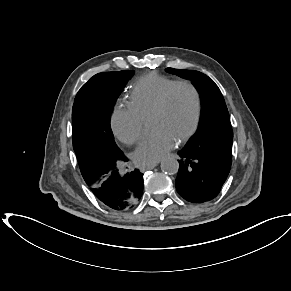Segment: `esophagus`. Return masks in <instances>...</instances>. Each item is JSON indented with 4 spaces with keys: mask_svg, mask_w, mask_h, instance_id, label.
I'll use <instances>...</instances> for the list:
<instances>
[{
    "mask_svg": "<svg viewBox=\"0 0 291 291\" xmlns=\"http://www.w3.org/2000/svg\"><path fill=\"white\" fill-rule=\"evenodd\" d=\"M158 164H159V162L151 163V164H145V165L142 167V169H143V170H151V169H153L154 167H156Z\"/></svg>",
    "mask_w": 291,
    "mask_h": 291,
    "instance_id": "obj_1",
    "label": "esophagus"
}]
</instances>
